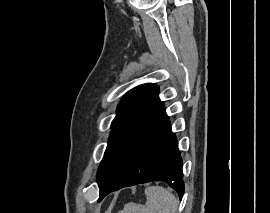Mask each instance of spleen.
Returning a JSON list of instances; mask_svg holds the SVG:
<instances>
[{"mask_svg":"<svg viewBox=\"0 0 270 213\" xmlns=\"http://www.w3.org/2000/svg\"><path fill=\"white\" fill-rule=\"evenodd\" d=\"M146 204H126L122 213H176L178 200L170 190L161 186L145 189Z\"/></svg>","mask_w":270,"mask_h":213,"instance_id":"1","label":"spleen"}]
</instances>
